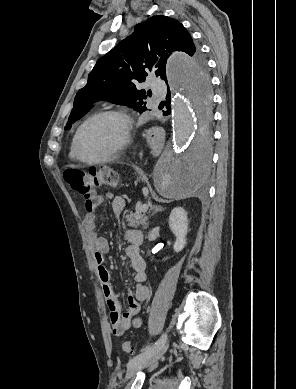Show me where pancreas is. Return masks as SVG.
I'll return each mask as SVG.
<instances>
[{
    "label": "pancreas",
    "mask_w": 296,
    "mask_h": 389,
    "mask_svg": "<svg viewBox=\"0 0 296 389\" xmlns=\"http://www.w3.org/2000/svg\"><path fill=\"white\" fill-rule=\"evenodd\" d=\"M146 214H141L139 210L135 213H130L126 216V220L128 222V226L130 227H139L140 225H145L147 220Z\"/></svg>",
    "instance_id": "cf45deb5"
}]
</instances>
